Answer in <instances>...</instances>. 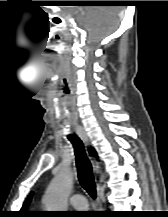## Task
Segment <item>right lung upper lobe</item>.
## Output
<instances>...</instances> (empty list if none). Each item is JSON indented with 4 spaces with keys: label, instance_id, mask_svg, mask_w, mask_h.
Wrapping results in <instances>:
<instances>
[{
    "label": "right lung upper lobe",
    "instance_id": "obj_1",
    "mask_svg": "<svg viewBox=\"0 0 168 217\" xmlns=\"http://www.w3.org/2000/svg\"><path fill=\"white\" fill-rule=\"evenodd\" d=\"M89 153L92 154H96L95 150L93 148H89ZM31 198H32V194H30L27 199L25 200L23 207L21 209V214L22 215H30V213L28 211H25V209L27 208V206L30 204L31 202Z\"/></svg>",
    "mask_w": 168,
    "mask_h": 217
}]
</instances>
